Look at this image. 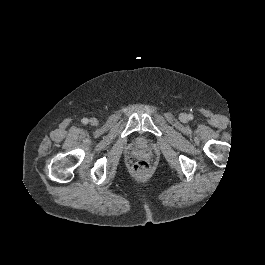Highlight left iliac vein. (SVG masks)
<instances>
[{
	"label": "left iliac vein",
	"instance_id": "4c4485c4",
	"mask_svg": "<svg viewBox=\"0 0 265 265\" xmlns=\"http://www.w3.org/2000/svg\"><path fill=\"white\" fill-rule=\"evenodd\" d=\"M181 118H182V119H186L187 117H186L185 114H182V115H181Z\"/></svg>",
	"mask_w": 265,
	"mask_h": 265
}]
</instances>
